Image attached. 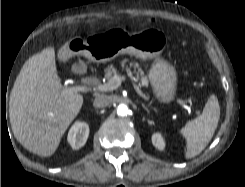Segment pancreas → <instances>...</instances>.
<instances>
[{
	"label": "pancreas",
	"mask_w": 245,
	"mask_h": 187,
	"mask_svg": "<svg viewBox=\"0 0 245 187\" xmlns=\"http://www.w3.org/2000/svg\"><path fill=\"white\" fill-rule=\"evenodd\" d=\"M134 67V74L136 75L137 79L139 78L140 75H142V71L137 70V68L139 67V65L137 63L132 64L130 63V67ZM105 78L108 80H111L113 78L114 75L117 74V69L111 64L109 65L105 70ZM127 72L131 73L130 68H127ZM144 80L147 82V78L144 77Z\"/></svg>",
	"instance_id": "obj_1"
}]
</instances>
